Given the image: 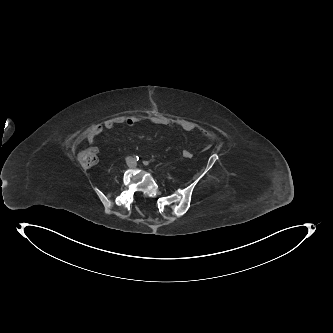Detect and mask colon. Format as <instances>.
I'll use <instances>...</instances> for the list:
<instances>
[{
	"label": "colon",
	"mask_w": 333,
	"mask_h": 333,
	"mask_svg": "<svg viewBox=\"0 0 333 333\" xmlns=\"http://www.w3.org/2000/svg\"><path fill=\"white\" fill-rule=\"evenodd\" d=\"M182 158L190 160L192 157H197V152H191L190 149L185 148L183 149ZM78 162L82 167L89 168L96 164L97 162V154L94 149H86L81 151L78 154Z\"/></svg>",
	"instance_id": "5ec220e1"
}]
</instances>
